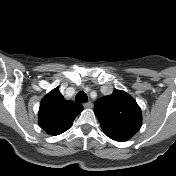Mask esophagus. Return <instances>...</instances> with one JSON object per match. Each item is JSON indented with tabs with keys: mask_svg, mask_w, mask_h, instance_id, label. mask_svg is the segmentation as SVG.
<instances>
[{
	"mask_svg": "<svg viewBox=\"0 0 176 176\" xmlns=\"http://www.w3.org/2000/svg\"><path fill=\"white\" fill-rule=\"evenodd\" d=\"M84 107L85 108H92L93 104H92V102H88V103L84 104Z\"/></svg>",
	"mask_w": 176,
	"mask_h": 176,
	"instance_id": "esophagus-1",
	"label": "esophagus"
}]
</instances>
